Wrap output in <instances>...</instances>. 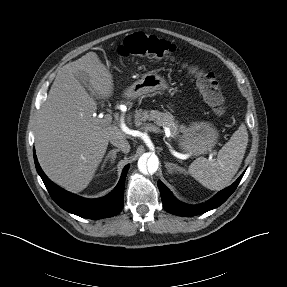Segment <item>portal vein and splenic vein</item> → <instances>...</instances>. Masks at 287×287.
I'll return each mask as SVG.
<instances>
[{"label":"portal vein and splenic vein","instance_id":"obj_1","mask_svg":"<svg viewBox=\"0 0 287 287\" xmlns=\"http://www.w3.org/2000/svg\"><path fill=\"white\" fill-rule=\"evenodd\" d=\"M101 120V124L104 125V126H108L112 123V116L110 114H106L104 116L103 119H100ZM147 130L149 131H152L154 133H161L162 130L155 126V125H148L147 127ZM122 130L126 133V134H132L131 131L129 129H127L126 127L122 126ZM165 132H168L169 133V130H165Z\"/></svg>","mask_w":287,"mask_h":287}]
</instances>
